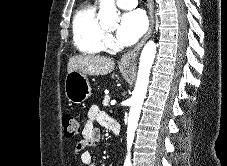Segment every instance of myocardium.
<instances>
[{
	"label": "myocardium",
	"instance_id": "obj_1",
	"mask_svg": "<svg viewBox=\"0 0 227 166\" xmlns=\"http://www.w3.org/2000/svg\"><path fill=\"white\" fill-rule=\"evenodd\" d=\"M104 31H105V33H106V35H107L108 32H107L106 30H104Z\"/></svg>",
	"mask_w": 227,
	"mask_h": 166
}]
</instances>
